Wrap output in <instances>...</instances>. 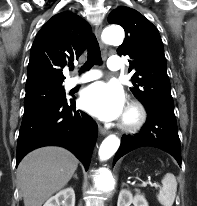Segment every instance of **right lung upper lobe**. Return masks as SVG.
Wrapping results in <instances>:
<instances>
[{"label": "right lung upper lobe", "instance_id": "1", "mask_svg": "<svg viewBox=\"0 0 197 206\" xmlns=\"http://www.w3.org/2000/svg\"><path fill=\"white\" fill-rule=\"evenodd\" d=\"M90 34L89 23L74 13L53 16L40 29L31 47L26 89L62 86V69L79 58Z\"/></svg>", "mask_w": 197, "mask_h": 206}]
</instances>
